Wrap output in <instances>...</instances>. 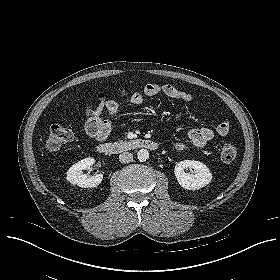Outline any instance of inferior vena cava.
Returning a JSON list of instances; mask_svg holds the SVG:
<instances>
[{
  "label": "inferior vena cava",
  "mask_w": 280,
  "mask_h": 280,
  "mask_svg": "<svg viewBox=\"0 0 280 280\" xmlns=\"http://www.w3.org/2000/svg\"><path fill=\"white\" fill-rule=\"evenodd\" d=\"M133 160V154L130 152H123L119 155V161L121 163H129Z\"/></svg>",
  "instance_id": "602c4592"
}]
</instances>
